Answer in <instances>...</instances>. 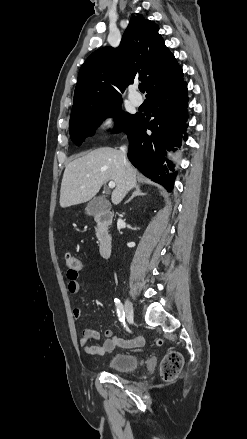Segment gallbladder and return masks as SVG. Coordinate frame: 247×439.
<instances>
[{"instance_id": "1", "label": "gallbladder", "mask_w": 247, "mask_h": 439, "mask_svg": "<svg viewBox=\"0 0 247 439\" xmlns=\"http://www.w3.org/2000/svg\"><path fill=\"white\" fill-rule=\"evenodd\" d=\"M107 209L105 200L102 197H95L87 204L85 211L88 215L93 216Z\"/></svg>"}]
</instances>
